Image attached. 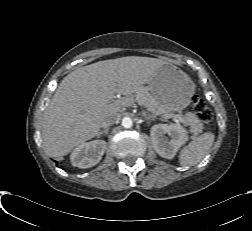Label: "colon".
Returning <instances> with one entry per match:
<instances>
[{
	"instance_id": "5ec220e1",
	"label": "colon",
	"mask_w": 252,
	"mask_h": 231,
	"mask_svg": "<svg viewBox=\"0 0 252 231\" xmlns=\"http://www.w3.org/2000/svg\"><path fill=\"white\" fill-rule=\"evenodd\" d=\"M192 107L198 119L205 125L209 126L213 120V112L207 106L205 101L198 96L192 98Z\"/></svg>"
}]
</instances>
